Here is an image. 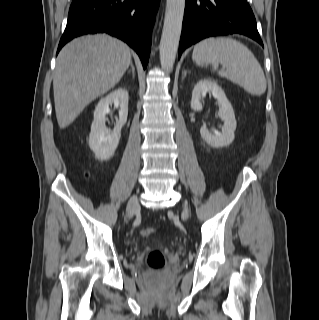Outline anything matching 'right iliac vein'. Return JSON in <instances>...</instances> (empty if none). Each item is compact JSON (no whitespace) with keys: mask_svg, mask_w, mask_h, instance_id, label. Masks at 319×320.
I'll return each mask as SVG.
<instances>
[{"mask_svg":"<svg viewBox=\"0 0 319 320\" xmlns=\"http://www.w3.org/2000/svg\"><path fill=\"white\" fill-rule=\"evenodd\" d=\"M139 210L138 197L136 195L132 196L127 204V215L132 218L135 213Z\"/></svg>","mask_w":319,"mask_h":320,"instance_id":"1","label":"right iliac vein"}]
</instances>
